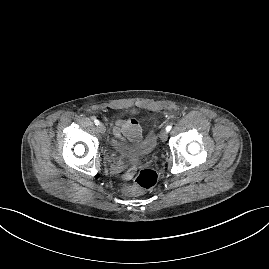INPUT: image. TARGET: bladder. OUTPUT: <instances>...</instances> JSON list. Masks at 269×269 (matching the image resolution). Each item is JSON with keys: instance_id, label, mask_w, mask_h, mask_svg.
Segmentation results:
<instances>
[{"instance_id": "1", "label": "bladder", "mask_w": 269, "mask_h": 269, "mask_svg": "<svg viewBox=\"0 0 269 269\" xmlns=\"http://www.w3.org/2000/svg\"><path fill=\"white\" fill-rule=\"evenodd\" d=\"M157 135L154 130H149L144 136L138 141L127 144L116 138L111 139V146L114 151L122 155H136V156H147L150 155L156 148Z\"/></svg>"}]
</instances>
